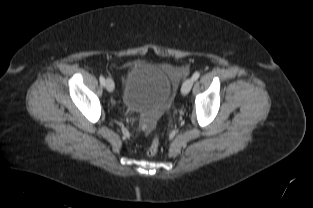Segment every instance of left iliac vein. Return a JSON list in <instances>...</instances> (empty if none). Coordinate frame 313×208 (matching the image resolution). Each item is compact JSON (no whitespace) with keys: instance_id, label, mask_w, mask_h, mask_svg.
<instances>
[{"instance_id":"1","label":"left iliac vein","mask_w":313,"mask_h":208,"mask_svg":"<svg viewBox=\"0 0 313 208\" xmlns=\"http://www.w3.org/2000/svg\"><path fill=\"white\" fill-rule=\"evenodd\" d=\"M194 80L192 78L186 79L181 87V93L187 95L193 86Z\"/></svg>"}]
</instances>
